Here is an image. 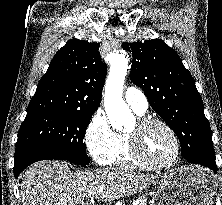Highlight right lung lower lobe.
<instances>
[{
    "mask_svg": "<svg viewBox=\"0 0 222 205\" xmlns=\"http://www.w3.org/2000/svg\"><path fill=\"white\" fill-rule=\"evenodd\" d=\"M46 159L65 160L62 155L42 148H30L15 152L13 168L15 177H18L30 164Z\"/></svg>",
    "mask_w": 222,
    "mask_h": 205,
    "instance_id": "right-lung-lower-lobe-1",
    "label": "right lung lower lobe"
}]
</instances>
